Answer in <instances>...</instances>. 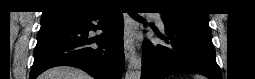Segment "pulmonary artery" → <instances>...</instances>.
I'll use <instances>...</instances> for the list:
<instances>
[{"label": "pulmonary artery", "mask_w": 255, "mask_h": 79, "mask_svg": "<svg viewBox=\"0 0 255 79\" xmlns=\"http://www.w3.org/2000/svg\"><path fill=\"white\" fill-rule=\"evenodd\" d=\"M156 21H157L158 26H159L161 29H164V23H163L162 18H161L160 16H158V17L156 18Z\"/></svg>", "instance_id": "e3ab8cb5"}]
</instances>
